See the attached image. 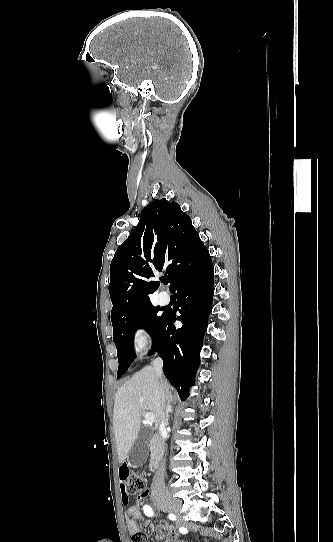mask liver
I'll list each match as a JSON object with an SVG mask.
<instances>
[{"instance_id":"obj_1","label":"liver","mask_w":333,"mask_h":542,"mask_svg":"<svg viewBox=\"0 0 333 542\" xmlns=\"http://www.w3.org/2000/svg\"><path fill=\"white\" fill-rule=\"evenodd\" d=\"M164 386H160V382ZM170 386L152 366L134 374L116 392L113 410L118 462H125L140 430L141 416L146 410L155 416V430H160L166 402L172 400Z\"/></svg>"}]
</instances>
